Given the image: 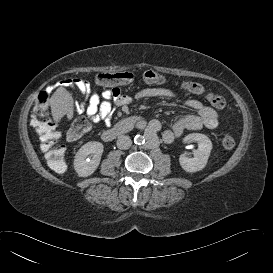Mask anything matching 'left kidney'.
<instances>
[{
    "label": "left kidney",
    "instance_id": "1",
    "mask_svg": "<svg viewBox=\"0 0 273 273\" xmlns=\"http://www.w3.org/2000/svg\"><path fill=\"white\" fill-rule=\"evenodd\" d=\"M197 142L198 148L194 150V157L188 158L182 154L179 158L181 167L187 172H197L202 170L208 161L210 152L212 150L211 140L204 134L192 133L184 138V142Z\"/></svg>",
    "mask_w": 273,
    "mask_h": 273
}]
</instances>
